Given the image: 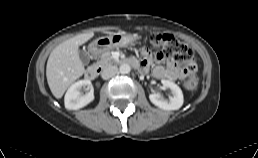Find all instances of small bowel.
Here are the masks:
<instances>
[{
  "label": "small bowel",
  "instance_id": "1",
  "mask_svg": "<svg viewBox=\"0 0 258 158\" xmlns=\"http://www.w3.org/2000/svg\"><path fill=\"white\" fill-rule=\"evenodd\" d=\"M141 55L143 56V60L140 61L141 68L140 71L145 73L148 71L149 67L153 63V58L151 52L147 48L141 49ZM156 60L165 62V66L156 65L153 67L152 73L154 77L158 79H168L170 81H176L177 79L183 78L188 73H192L195 71V66L191 65L188 68L181 70L172 59L167 58L164 54H158L156 56Z\"/></svg>",
  "mask_w": 258,
  "mask_h": 158
}]
</instances>
